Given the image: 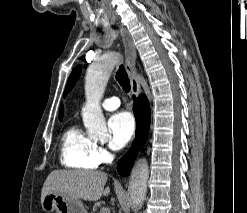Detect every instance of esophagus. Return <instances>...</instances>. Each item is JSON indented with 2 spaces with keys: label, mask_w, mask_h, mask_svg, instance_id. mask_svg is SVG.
Returning a JSON list of instances; mask_svg holds the SVG:
<instances>
[{
  "label": "esophagus",
  "mask_w": 247,
  "mask_h": 213,
  "mask_svg": "<svg viewBox=\"0 0 247 213\" xmlns=\"http://www.w3.org/2000/svg\"><path fill=\"white\" fill-rule=\"evenodd\" d=\"M120 34L122 36V41L124 45L125 57H126L125 66L131 82L132 93L135 96H138L141 92V89H140L139 81L136 77V70H135L136 49L130 33L125 28L123 27L120 28Z\"/></svg>",
  "instance_id": "34e87169"
}]
</instances>
